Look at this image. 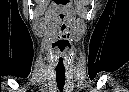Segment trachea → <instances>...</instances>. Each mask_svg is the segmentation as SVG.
Returning a JSON list of instances; mask_svg holds the SVG:
<instances>
[{"label": "trachea", "instance_id": "1", "mask_svg": "<svg viewBox=\"0 0 129 92\" xmlns=\"http://www.w3.org/2000/svg\"><path fill=\"white\" fill-rule=\"evenodd\" d=\"M57 87L60 91H63L65 85V71H56Z\"/></svg>", "mask_w": 129, "mask_h": 92}]
</instances>
